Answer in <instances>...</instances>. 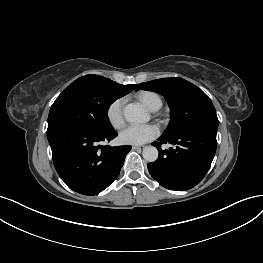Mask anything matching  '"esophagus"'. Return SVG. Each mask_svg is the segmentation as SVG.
Here are the masks:
<instances>
[{"mask_svg": "<svg viewBox=\"0 0 263 263\" xmlns=\"http://www.w3.org/2000/svg\"><path fill=\"white\" fill-rule=\"evenodd\" d=\"M143 146H132L133 150H141Z\"/></svg>", "mask_w": 263, "mask_h": 263, "instance_id": "34e87169", "label": "esophagus"}]
</instances>
